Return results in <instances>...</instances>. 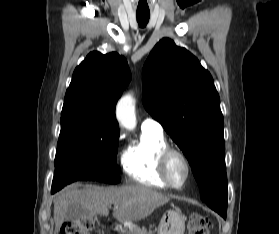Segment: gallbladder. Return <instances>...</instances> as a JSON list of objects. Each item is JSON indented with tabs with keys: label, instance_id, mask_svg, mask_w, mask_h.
<instances>
[{
	"label": "gallbladder",
	"instance_id": "bac80fb5",
	"mask_svg": "<svg viewBox=\"0 0 279 234\" xmlns=\"http://www.w3.org/2000/svg\"><path fill=\"white\" fill-rule=\"evenodd\" d=\"M89 215V212L86 208L78 204H72L68 207L65 213L66 220H76L85 218Z\"/></svg>",
	"mask_w": 279,
	"mask_h": 234
}]
</instances>
